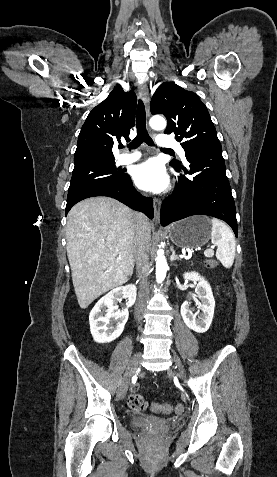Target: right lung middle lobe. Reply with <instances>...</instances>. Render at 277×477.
Wrapping results in <instances>:
<instances>
[{
    "label": "right lung middle lobe",
    "instance_id": "1",
    "mask_svg": "<svg viewBox=\"0 0 277 477\" xmlns=\"http://www.w3.org/2000/svg\"><path fill=\"white\" fill-rule=\"evenodd\" d=\"M125 170L117 168L114 161H105L85 164L74 167L68 197L90 185L102 182H124L128 174Z\"/></svg>",
    "mask_w": 277,
    "mask_h": 477
}]
</instances>
